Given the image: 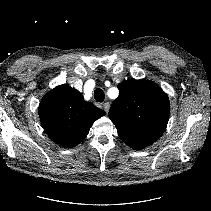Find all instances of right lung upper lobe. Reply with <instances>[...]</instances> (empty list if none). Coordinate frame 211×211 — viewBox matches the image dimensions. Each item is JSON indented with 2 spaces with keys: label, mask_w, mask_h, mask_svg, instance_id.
<instances>
[{
  "label": "right lung upper lobe",
  "mask_w": 211,
  "mask_h": 211,
  "mask_svg": "<svg viewBox=\"0 0 211 211\" xmlns=\"http://www.w3.org/2000/svg\"><path fill=\"white\" fill-rule=\"evenodd\" d=\"M105 112L68 85L52 89L42 98L39 117L46 134L61 146L72 148L88 135L93 122Z\"/></svg>",
  "instance_id": "1"
}]
</instances>
